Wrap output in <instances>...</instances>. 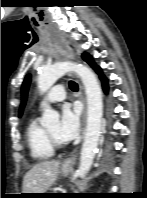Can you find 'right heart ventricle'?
I'll list each match as a JSON object with an SVG mask.
<instances>
[{
    "mask_svg": "<svg viewBox=\"0 0 147 198\" xmlns=\"http://www.w3.org/2000/svg\"><path fill=\"white\" fill-rule=\"evenodd\" d=\"M25 138L31 157L36 161H45L54 155L46 129L43 128L36 117H32L26 127Z\"/></svg>",
    "mask_w": 147,
    "mask_h": 198,
    "instance_id": "e07e8e85",
    "label": "right heart ventricle"
}]
</instances>
